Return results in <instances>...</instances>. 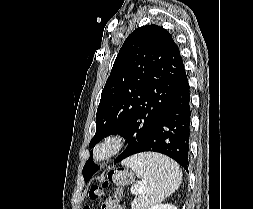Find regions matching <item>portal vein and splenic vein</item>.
<instances>
[{
  "label": "portal vein and splenic vein",
  "instance_id": "1",
  "mask_svg": "<svg viewBox=\"0 0 253 209\" xmlns=\"http://www.w3.org/2000/svg\"><path fill=\"white\" fill-rule=\"evenodd\" d=\"M132 192L135 194H137V193L140 194L143 192V189L141 187H136L134 190H132Z\"/></svg>",
  "mask_w": 253,
  "mask_h": 209
}]
</instances>
